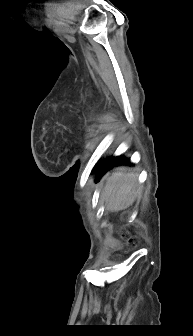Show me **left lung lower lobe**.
<instances>
[{"mask_svg":"<svg viewBox=\"0 0 193 336\" xmlns=\"http://www.w3.org/2000/svg\"><path fill=\"white\" fill-rule=\"evenodd\" d=\"M129 163H130V160L124 158L123 156L115 157V158H109L108 160H106L105 162H103V164H101L100 167L98 168V170H97L98 171L97 180L104 173H106L108 170H110L111 168H113V166L119 165V164H129Z\"/></svg>","mask_w":193,"mask_h":336,"instance_id":"left-lung-lower-lobe-1","label":"left lung lower lobe"}]
</instances>
